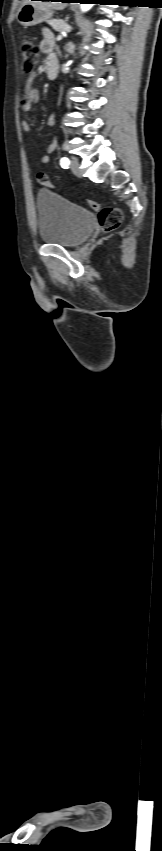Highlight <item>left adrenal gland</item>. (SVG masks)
Instances as JSON below:
<instances>
[{"mask_svg": "<svg viewBox=\"0 0 162 851\" xmlns=\"http://www.w3.org/2000/svg\"><path fill=\"white\" fill-rule=\"evenodd\" d=\"M65 49H66V51H67L69 54H72V53H74V51H75V45H74L72 42H69V43L66 45V48H65Z\"/></svg>", "mask_w": 162, "mask_h": 851, "instance_id": "left-adrenal-gland-1", "label": "left adrenal gland"}]
</instances>
